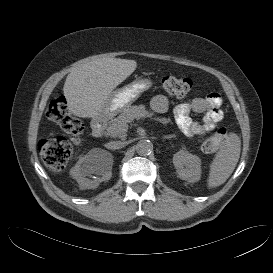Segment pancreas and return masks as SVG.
Segmentation results:
<instances>
[{"instance_id":"pancreas-1","label":"pancreas","mask_w":273,"mask_h":273,"mask_svg":"<svg viewBox=\"0 0 273 273\" xmlns=\"http://www.w3.org/2000/svg\"><path fill=\"white\" fill-rule=\"evenodd\" d=\"M153 113L147 111L143 105L129 106L121 111V114L115 118L112 124L107 129V134L112 137L124 138L125 133L120 132V128L123 126L128 127V123L134 119H140L144 117H152Z\"/></svg>"}]
</instances>
